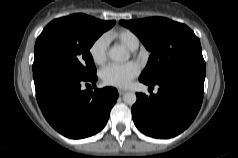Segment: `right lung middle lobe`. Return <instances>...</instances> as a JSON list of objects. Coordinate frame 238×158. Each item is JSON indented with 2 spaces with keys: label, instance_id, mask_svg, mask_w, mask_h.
<instances>
[{
  "label": "right lung middle lobe",
  "instance_id": "dd1d6c3e",
  "mask_svg": "<svg viewBox=\"0 0 238 158\" xmlns=\"http://www.w3.org/2000/svg\"><path fill=\"white\" fill-rule=\"evenodd\" d=\"M114 24L84 14L53 20L37 38L33 65L52 62L85 78L96 76L89 49Z\"/></svg>",
  "mask_w": 238,
  "mask_h": 158
}]
</instances>
